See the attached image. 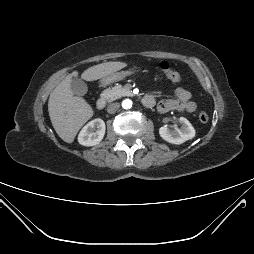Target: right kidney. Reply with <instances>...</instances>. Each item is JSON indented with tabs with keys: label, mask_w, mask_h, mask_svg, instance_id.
Instances as JSON below:
<instances>
[{
	"label": "right kidney",
	"mask_w": 254,
	"mask_h": 254,
	"mask_svg": "<svg viewBox=\"0 0 254 254\" xmlns=\"http://www.w3.org/2000/svg\"><path fill=\"white\" fill-rule=\"evenodd\" d=\"M105 123L97 118L88 122L78 135V142L83 146L99 144L105 135Z\"/></svg>",
	"instance_id": "obj_1"
}]
</instances>
